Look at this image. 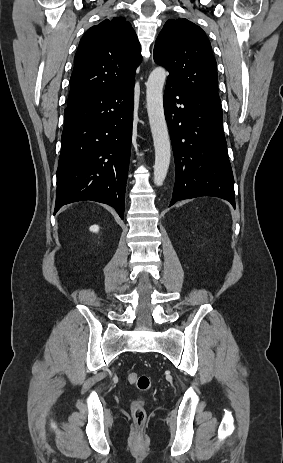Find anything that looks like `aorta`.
<instances>
[{"label":"aorta","mask_w":283,"mask_h":463,"mask_svg":"<svg viewBox=\"0 0 283 463\" xmlns=\"http://www.w3.org/2000/svg\"><path fill=\"white\" fill-rule=\"evenodd\" d=\"M166 75L163 67H156L146 83L147 112L155 148L154 184L156 186L163 185L171 157V145L163 108V86Z\"/></svg>","instance_id":"obj_1"}]
</instances>
